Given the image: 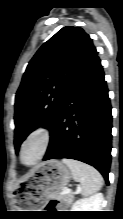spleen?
I'll list each match as a JSON object with an SVG mask.
<instances>
[{"instance_id":"spleen-1","label":"spleen","mask_w":123,"mask_h":219,"mask_svg":"<svg viewBox=\"0 0 123 219\" xmlns=\"http://www.w3.org/2000/svg\"><path fill=\"white\" fill-rule=\"evenodd\" d=\"M62 162L69 167L74 180L80 183L83 196H90L101 189L103 178L95 168L72 159L64 158Z\"/></svg>"}]
</instances>
